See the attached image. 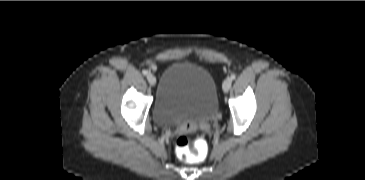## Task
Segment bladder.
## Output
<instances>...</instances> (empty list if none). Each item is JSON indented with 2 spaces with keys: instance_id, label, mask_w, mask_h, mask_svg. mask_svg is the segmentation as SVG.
I'll use <instances>...</instances> for the list:
<instances>
[{
  "instance_id": "bladder-1",
  "label": "bladder",
  "mask_w": 365,
  "mask_h": 180,
  "mask_svg": "<svg viewBox=\"0 0 365 180\" xmlns=\"http://www.w3.org/2000/svg\"><path fill=\"white\" fill-rule=\"evenodd\" d=\"M218 109L217 84L205 67L177 61L164 69L152 108L158 125L169 127L210 120Z\"/></svg>"
}]
</instances>
